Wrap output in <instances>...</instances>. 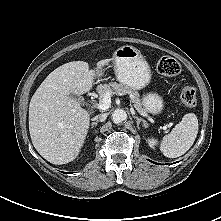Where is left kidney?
I'll list each match as a JSON object with an SVG mask.
<instances>
[{"label": "left kidney", "instance_id": "1", "mask_svg": "<svg viewBox=\"0 0 221 221\" xmlns=\"http://www.w3.org/2000/svg\"><path fill=\"white\" fill-rule=\"evenodd\" d=\"M148 141V145L151 147V148H154L156 145H157V140L154 139V138H150L147 140Z\"/></svg>", "mask_w": 221, "mask_h": 221}]
</instances>
